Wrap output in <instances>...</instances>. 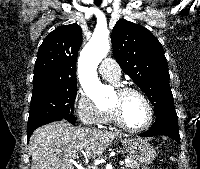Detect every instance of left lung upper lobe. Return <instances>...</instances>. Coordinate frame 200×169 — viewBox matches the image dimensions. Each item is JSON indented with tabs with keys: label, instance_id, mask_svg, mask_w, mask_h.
I'll return each mask as SVG.
<instances>
[{
	"label": "left lung upper lobe",
	"instance_id": "5c2ea615",
	"mask_svg": "<svg viewBox=\"0 0 200 169\" xmlns=\"http://www.w3.org/2000/svg\"><path fill=\"white\" fill-rule=\"evenodd\" d=\"M111 41L115 59L145 92L155 115L175 114L168 65L158 39L145 27L120 19L112 30Z\"/></svg>",
	"mask_w": 200,
	"mask_h": 169
}]
</instances>
